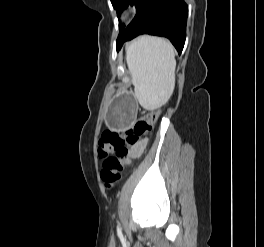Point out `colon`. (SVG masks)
Listing matches in <instances>:
<instances>
[{"instance_id": "obj_1", "label": "colon", "mask_w": 264, "mask_h": 247, "mask_svg": "<svg viewBox=\"0 0 264 247\" xmlns=\"http://www.w3.org/2000/svg\"><path fill=\"white\" fill-rule=\"evenodd\" d=\"M157 118V111H149L131 126L122 130H106L98 144V155L102 159L100 178L107 189H111L121 178L130 147L141 137L150 133Z\"/></svg>"}]
</instances>
